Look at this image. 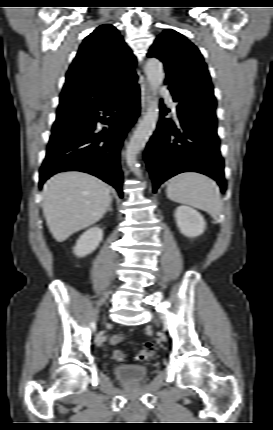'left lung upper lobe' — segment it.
I'll return each instance as SVG.
<instances>
[{
  "instance_id": "left-lung-upper-lobe-1",
  "label": "left lung upper lobe",
  "mask_w": 273,
  "mask_h": 430,
  "mask_svg": "<svg viewBox=\"0 0 273 430\" xmlns=\"http://www.w3.org/2000/svg\"><path fill=\"white\" fill-rule=\"evenodd\" d=\"M148 57L160 59L166 83L178 108L200 119L216 120V99L203 56L186 37L165 29L150 47Z\"/></svg>"
}]
</instances>
